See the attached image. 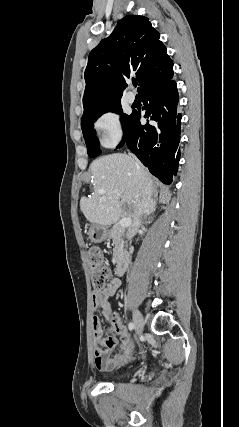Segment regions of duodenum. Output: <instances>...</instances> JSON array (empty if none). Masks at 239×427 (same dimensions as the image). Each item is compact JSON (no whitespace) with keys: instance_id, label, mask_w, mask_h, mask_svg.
Instances as JSON below:
<instances>
[{"instance_id":"duodenum-1","label":"duodenum","mask_w":239,"mask_h":427,"mask_svg":"<svg viewBox=\"0 0 239 427\" xmlns=\"http://www.w3.org/2000/svg\"><path fill=\"white\" fill-rule=\"evenodd\" d=\"M130 264V253L126 249H121L116 257L115 274L121 276L124 274Z\"/></svg>"}]
</instances>
